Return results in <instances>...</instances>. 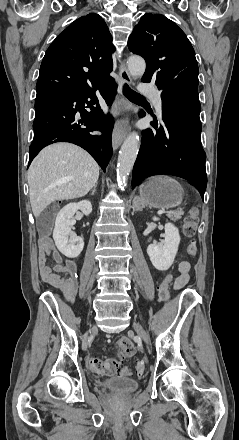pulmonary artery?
<instances>
[{
	"mask_svg": "<svg viewBox=\"0 0 239 440\" xmlns=\"http://www.w3.org/2000/svg\"><path fill=\"white\" fill-rule=\"evenodd\" d=\"M152 99L154 101L156 110L158 112V114H161V110H162V100H161V96L160 93L158 91H155L152 93Z\"/></svg>",
	"mask_w": 239,
	"mask_h": 440,
	"instance_id": "e3ab8cb5",
	"label": "pulmonary artery"
}]
</instances>
